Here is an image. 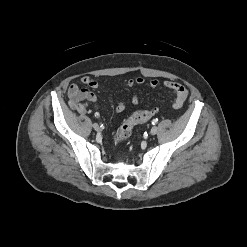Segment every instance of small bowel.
<instances>
[{
	"mask_svg": "<svg viewBox=\"0 0 247 247\" xmlns=\"http://www.w3.org/2000/svg\"><path fill=\"white\" fill-rule=\"evenodd\" d=\"M81 83L91 89L102 88V85L94 78L89 76H84L81 78ZM145 83V79L143 77H137L135 79H129L123 82L124 86L133 87L135 85H142ZM161 83L157 79H151L147 82V85L151 88H156ZM162 86L168 90H170L174 94V99L172 102V106L175 109H179L184 104L188 91L184 87V85L174 82V81H164ZM68 100L70 107L77 111L79 114H84L87 111L88 104H92L93 106L97 105V96L94 92L87 88H82L78 84L70 85L68 92ZM132 103L134 105L139 104V97L137 94H133ZM125 109V103L120 101L114 108L116 113H120Z\"/></svg>",
	"mask_w": 247,
	"mask_h": 247,
	"instance_id": "1",
	"label": "small bowel"
}]
</instances>
